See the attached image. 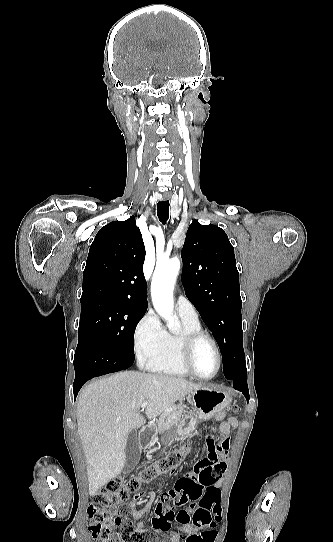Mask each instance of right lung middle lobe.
<instances>
[{
  "label": "right lung middle lobe",
  "instance_id": "dd1d6c3e",
  "mask_svg": "<svg viewBox=\"0 0 333 542\" xmlns=\"http://www.w3.org/2000/svg\"><path fill=\"white\" fill-rule=\"evenodd\" d=\"M146 310L123 304L93 302L81 305L79 339L95 335L117 353L135 359L133 339Z\"/></svg>",
  "mask_w": 333,
  "mask_h": 542
}]
</instances>
